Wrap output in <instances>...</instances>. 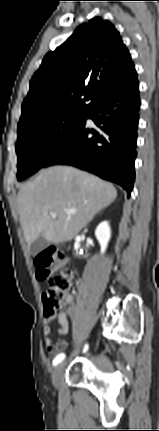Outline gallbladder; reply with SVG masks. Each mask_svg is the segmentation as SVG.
<instances>
[{"label":"gallbladder","mask_w":159,"mask_h":431,"mask_svg":"<svg viewBox=\"0 0 159 431\" xmlns=\"http://www.w3.org/2000/svg\"><path fill=\"white\" fill-rule=\"evenodd\" d=\"M49 242L43 237H38L30 246V251L32 255H37L42 252L47 246Z\"/></svg>","instance_id":"obj_1"}]
</instances>
